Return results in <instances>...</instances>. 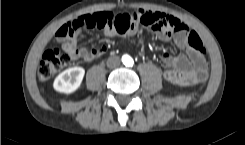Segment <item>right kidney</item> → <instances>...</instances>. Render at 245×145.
<instances>
[{"label":"right kidney","instance_id":"right-kidney-1","mask_svg":"<svg viewBox=\"0 0 245 145\" xmlns=\"http://www.w3.org/2000/svg\"><path fill=\"white\" fill-rule=\"evenodd\" d=\"M84 74L82 67L66 69L55 78L53 88L60 93H73L80 87Z\"/></svg>","mask_w":245,"mask_h":145}]
</instances>
